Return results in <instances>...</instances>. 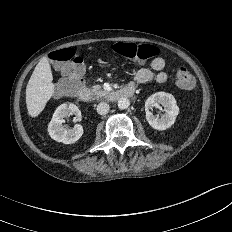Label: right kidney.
<instances>
[{
  "label": "right kidney",
  "mask_w": 232,
  "mask_h": 232,
  "mask_svg": "<svg viewBox=\"0 0 232 232\" xmlns=\"http://www.w3.org/2000/svg\"><path fill=\"white\" fill-rule=\"evenodd\" d=\"M69 115H75V121L81 120V111L72 103L61 104L54 112L48 126V133L53 140L72 144L83 135V127L79 124H76L73 129H66L62 126V123L65 122L64 118Z\"/></svg>",
  "instance_id": "obj_1"
}]
</instances>
